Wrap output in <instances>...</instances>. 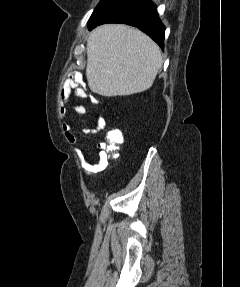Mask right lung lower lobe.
I'll list each match as a JSON object with an SVG mask.
<instances>
[{"instance_id":"right-lung-lower-lobe-1","label":"right lung lower lobe","mask_w":240,"mask_h":287,"mask_svg":"<svg viewBox=\"0 0 240 287\" xmlns=\"http://www.w3.org/2000/svg\"><path fill=\"white\" fill-rule=\"evenodd\" d=\"M104 23H125L137 27L164 48L165 27L151 0H111L89 25V29Z\"/></svg>"}]
</instances>
